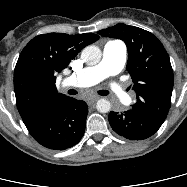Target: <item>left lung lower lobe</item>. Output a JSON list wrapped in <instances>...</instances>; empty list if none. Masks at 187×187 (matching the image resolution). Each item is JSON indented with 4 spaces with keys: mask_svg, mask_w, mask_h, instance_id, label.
<instances>
[{
    "mask_svg": "<svg viewBox=\"0 0 187 187\" xmlns=\"http://www.w3.org/2000/svg\"><path fill=\"white\" fill-rule=\"evenodd\" d=\"M109 123L120 136L130 140H142L152 136L162 123L154 121L134 110L110 112Z\"/></svg>",
    "mask_w": 187,
    "mask_h": 187,
    "instance_id": "1",
    "label": "left lung lower lobe"
}]
</instances>
